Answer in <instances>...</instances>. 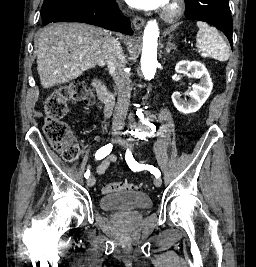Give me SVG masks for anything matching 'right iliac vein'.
Segmentation results:
<instances>
[{
	"label": "right iliac vein",
	"instance_id": "obj_1",
	"mask_svg": "<svg viewBox=\"0 0 256 267\" xmlns=\"http://www.w3.org/2000/svg\"><path fill=\"white\" fill-rule=\"evenodd\" d=\"M118 139L116 131L112 134L111 142H115ZM95 184V178L92 176L87 180V186L92 187Z\"/></svg>",
	"mask_w": 256,
	"mask_h": 267
}]
</instances>
